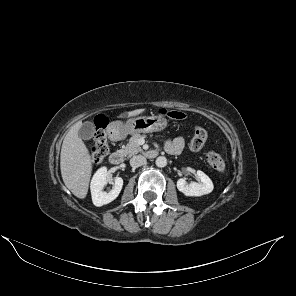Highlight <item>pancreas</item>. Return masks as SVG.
I'll return each instance as SVG.
<instances>
[{
    "instance_id": "pancreas-1",
    "label": "pancreas",
    "mask_w": 296,
    "mask_h": 296,
    "mask_svg": "<svg viewBox=\"0 0 296 296\" xmlns=\"http://www.w3.org/2000/svg\"><path fill=\"white\" fill-rule=\"evenodd\" d=\"M145 135H140V134H134L130 139L129 142L123 146L121 149V152L128 157H131L135 154L142 153L143 150L141 146L139 145L138 141L141 138H145Z\"/></svg>"
}]
</instances>
